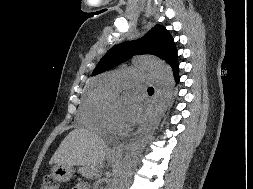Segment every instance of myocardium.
I'll list each match as a JSON object with an SVG mask.
<instances>
[{"mask_svg": "<svg viewBox=\"0 0 253 189\" xmlns=\"http://www.w3.org/2000/svg\"><path fill=\"white\" fill-rule=\"evenodd\" d=\"M107 130L112 133H120L122 131L121 127H119L115 123L110 110H108V113H107Z\"/></svg>", "mask_w": 253, "mask_h": 189, "instance_id": "1", "label": "myocardium"}]
</instances>
